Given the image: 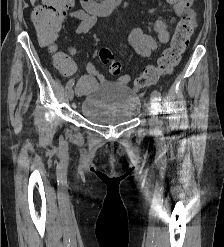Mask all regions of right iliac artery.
<instances>
[{"mask_svg": "<svg viewBox=\"0 0 224 247\" xmlns=\"http://www.w3.org/2000/svg\"><path fill=\"white\" fill-rule=\"evenodd\" d=\"M74 85V80H70L67 83V88H71Z\"/></svg>", "mask_w": 224, "mask_h": 247, "instance_id": "82829eb1", "label": "right iliac artery"}]
</instances>
